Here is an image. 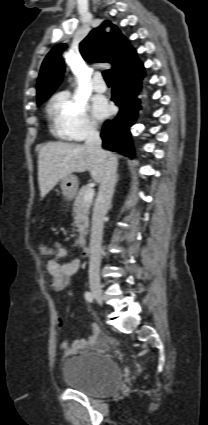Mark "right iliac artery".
<instances>
[{
  "instance_id": "obj_1",
  "label": "right iliac artery",
  "mask_w": 208,
  "mask_h": 425,
  "mask_svg": "<svg viewBox=\"0 0 208 425\" xmlns=\"http://www.w3.org/2000/svg\"><path fill=\"white\" fill-rule=\"evenodd\" d=\"M85 299H86V301L91 303V302H93L94 296L91 292H86L85 293Z\"/></svg>"
}]
</instances>
